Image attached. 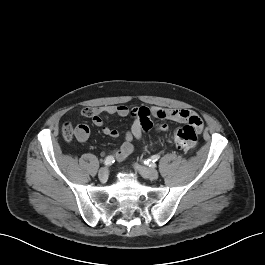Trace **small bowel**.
<instances>
[{
	"label": "small bowel",
	"mask_w": 265,
	"mask_h": 265,
	"mask_svg": "<svg viewBox=\"0 0 265 265\" xmlns=\"http://www.w3.org/2000/svg\"><path fill=\"white\" fill-rule=\"evenodd\" d=\"M81 115L92 119L93 123L102 128V132L112 138L119 135L118 130L104 126V118L110 116H132L134 122L131 128L125 132L124 142L120 148L112 152V156L116 160H124L134 151V140H140L143 135L152 128L151 118H163L178 122L193 123L197 130L203 129V123L197 113L186 108L160 109L157 107H133L129 108L125 105H107L98 107H86L82 109ZM159 131H166V125H159ZM90 135L89 127L85 124H79L75 128V136L79 142H85Z\"/></svg>",
	"instance_id": "c3829d8e"
}]
</instances>
